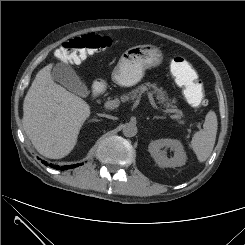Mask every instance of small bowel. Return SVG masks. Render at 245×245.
<instances>
[{"mask_svg":"<svg viewBox=\"0 0 245 245\" xmlns=\"http://www.w3.org/2000/svg\"><path fill=\"white\" fill-rule=\"evenodd\" d=\"M177 58H181V57H175V59ZM177 61L174 62L172 61V67H173V73H180L184 78H190V77H196V73L194 71V69L191 67V65L185 61V65L184 67L180 70V72L178 71L179 69L177 68Z\"/></svg>","mask_w":245,"mask_h":245,"instance_id":"1","label":"small bowel"}]
</instances>
